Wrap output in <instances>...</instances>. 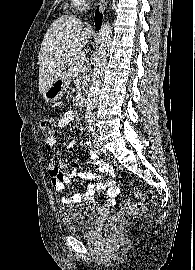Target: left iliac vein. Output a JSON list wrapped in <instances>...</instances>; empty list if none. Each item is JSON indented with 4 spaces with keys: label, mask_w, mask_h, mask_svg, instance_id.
I'll list each match as a JSON object with an SVG mask.
<instances>
[{
    "label": "left iliac vein",
    "mask_w": 195,
    "mask_h": 270,
    "mask_svg": "<svg viewBox=\"0 0 195 270\" xmlns=\"http://www.w3.org/2000/svg\"><path fill=\"white\" fill-rule=\"evenodd\" d=\"M94 145L95 148L97 149V151L102 154V155H106L107 154V150L106 148L102 145V143L100 142V139L98 136H95L94 138Z\"/></svg>",
    "instance_id": "4c4485c4"
}]
</instances>
